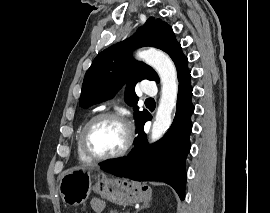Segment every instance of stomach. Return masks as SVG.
I'll return each instance as SVG.
<instances>
[{
  "mask_svg": "<svg viewBox=\"0 0 270 213\" xmlns=\"http://www.w3.org/2000/svg\"><path fill=\"white\" fill-rule=\"evenodd\" d=\"M58 190L63 202L69 206L82 204L92 191L119 205L147 203L152 196V190L146 184L101 176L92 169L80 168L63 172Z\"/></svg>",
  "mask_w": 270,
  "mask_h": 213,
  "instance_id": "obj_1",
  "label": "stomach"
}]
</instances>
